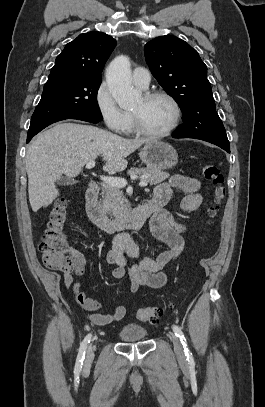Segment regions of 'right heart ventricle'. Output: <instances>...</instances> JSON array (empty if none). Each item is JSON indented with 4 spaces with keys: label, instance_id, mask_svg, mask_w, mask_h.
<instances>
[{
    "label": "right heart ventricle",
    "instance_id": "obj_1",
    "mask_svg": "<svg viewBox=\"0 0 265 407\" xmlns=\"http://www.w3.org/2000/svg\"><path fill=\"white\" fill-rule=\"evenodd\" d=\"M128 117H129L128 124L126 126V129L123 132L125 134H131L133 132L131 115L128 114Z\"/></svg>",
    "mask_w": 265,
    "mask_h": 407
}]
</instances>
